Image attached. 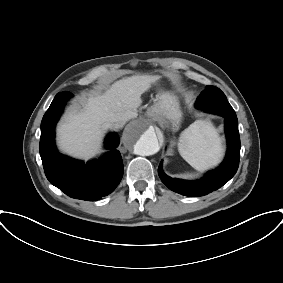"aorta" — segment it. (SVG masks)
<instances>
[{
	"instance_id": "762f6f07",
	"label": "aorta",
	"mask_w": 283,
	"mask_h": 283,
	"mask_svg": "<svg viewBox=\"0 0 283 283\" xmlns=\"http://www.w3.org/2000/svg\"><path fill=\"white\" fill-rule=\"evenodd\" d=\"M124 144L137 155L156 154L160 147L154 126L146 121L131 123L123 134Z\"/></svg>"
}]
</instances>
